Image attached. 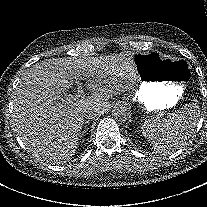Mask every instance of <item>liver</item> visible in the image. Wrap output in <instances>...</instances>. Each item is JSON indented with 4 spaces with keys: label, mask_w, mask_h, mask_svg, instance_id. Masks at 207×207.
<instances>
[{
    "label": "liver",
    "mask_w": 207,
    "mask_h": 207,
    "mask_svg": "<svg viewBox=\"0 0 207 207\" xmlns=\"http://www.w3.org/2000/svg\"><path fill=\"white\" fill-rule=\"evenodd\" d=\"M81 77L93 78L96 83V70L70 59L42 61L21 77L14 94L12 130L28 150L47 148L51 158L57 157L51 152L58 156L75 153L84 118L95 114L97 106L96 99L69 92Z\"/></svg>",
    "instance_id": "liver-1"
}]
</instances>
